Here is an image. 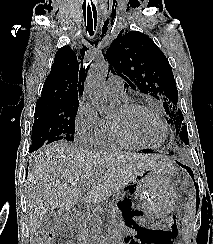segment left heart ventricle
Returning a JSON list of instances; mask_svg holds the SVG:
<instances>
[{
  "instance_id": "1",
  "label": "left heart ventricle",
  "mask_w": 213,
  "mask_h": 244,
  "mask_svg": "<svg viewBox=\"0 0 213 244\" xmlns=\"http://www.w3.org/2000/svg\"><path fill=\"white\" fill-rule=\"evenodd\" d=\"M112 121L141 143L156 145L163 138L162 126L148 111H128L122 107Z\"/></svg>"
}]
</instances>
